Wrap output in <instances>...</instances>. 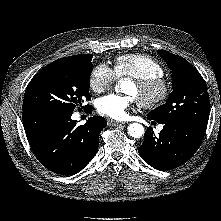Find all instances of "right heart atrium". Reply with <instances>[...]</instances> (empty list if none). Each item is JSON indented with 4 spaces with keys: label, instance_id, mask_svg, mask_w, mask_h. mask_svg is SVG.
Segmentation results:
<instances>
[{
    "label": "right heart atrium",
    "instance_id": "d8ad5b80",
    "mask_svg": "<svg viewBox=\"0 0 221 221\" xmlns=\"http://www.w3.org/2000/svg\"><path fill=\"white\" fill-rule=\"evenodd\" d=\"M116 79L117 76L112 68L104 63H99L90 73L89 84L94 92L101 93L112 87Z\"/></svg>",
    "mask_w": 221,
    "mask_h": 221
}]
</instances>
